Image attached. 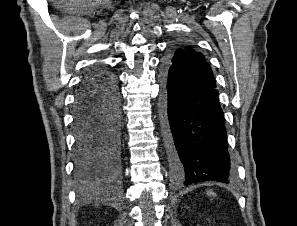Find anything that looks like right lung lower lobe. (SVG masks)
<instances>
[{"label":"right lung lower lobe","instance_id":"right-lung-lower-lobe-1","mask_svg":"<svg viewBox=\"0 0 297 226\" xmlns=\"http://www.w3.org/2000/svg\"><path fill=\"white\" fill-rule=\"evenodd\" d=\"M75 174L83 191L115 183L121 177V109L118 82L105 67L82 82L74 111Z\"/></svg>","mask_w":297,"mask_h":226}]
</instances>
